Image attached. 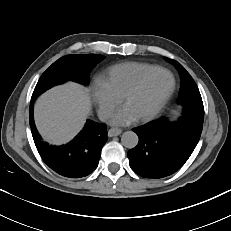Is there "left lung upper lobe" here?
<instances>
[{"instance_id":"1","label":"left lung upper lobe","mask_w":231,"mask_h":231,"mask_svg":"<svg viewBox=\"0 0 231 231\" xmlns=\"http://www.w3.org/2000/svg\"><path fill=\"white\" fill-rule=\"evenodd\" d=\"M167 61L176 66L181 76L178 103L183 107V115L204 118L203 102L195 81L180 63L172 59Z\"/></svg>"}]
</instances>
